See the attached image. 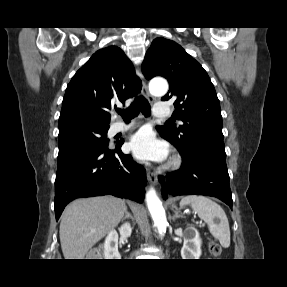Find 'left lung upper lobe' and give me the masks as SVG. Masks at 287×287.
<instances>
[{"label": "left lung upper lobe", "mask_w": 287, "mask_h": 287, "mask_svg": "<svg viewBox=\"0 0 287 287\" xmlns=\"http://www.w3.org/2000/svg\"><path fill=\"white\" fill-rule=\"evenodd\" d=\"M142 72L147 79L168 80L170 90L162 100H172L173 115L184 122L178 128L160 127V134L187 158L202 154L226 161L220 102L204 68L176 42L156 38Z\"/></svg>", "instance_id": "5c2ea615"}]
</instances>
